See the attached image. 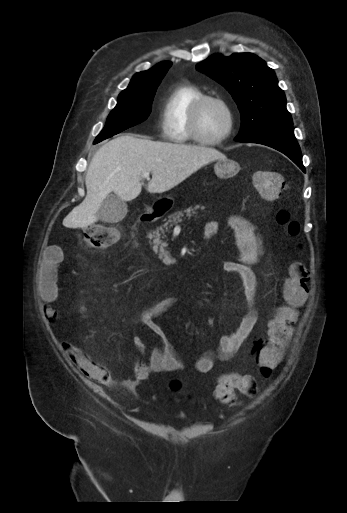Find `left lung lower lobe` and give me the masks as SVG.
<instances>
[{
	"label": "left lung lower lobe",
	"mask_w": 347,
	"mask_h": 513,
	"mask_svg": "<svg viewBox=\"0 0 347 513\" xmlns=\"http://www.w3.org/2000/svg\"><path fill=\"white\" fill-rule=\"evenodd\" d=\"M242 142L258 143L272 147L288 156L303 172H305V167L302 163L301 150L294 136L292 126H281L267 129Z\"/></svg>",
	"instance_id": "1"
}]
</instances>
